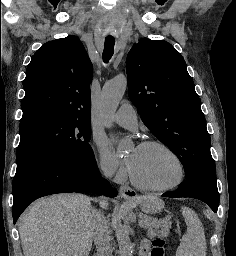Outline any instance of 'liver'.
Masks as SVG:
<instances>
[{
    "mask_svg": "<svg viewBox=\"0 0 236 256\" xmlns=\"http://www.w3.org/2000/svg\"><path fill=\"white\" fill-rule=\"evenodd\" d=\"M101 206H108L101 202ZM100 220L83 194H55L40 198L19 220L24 256H89Z\"/></svg>",
    "mask_w": 236,
    "mask_h": 256,
    "instance_id": "6515ba94",
    "label": "liver"
}]
</instances>
